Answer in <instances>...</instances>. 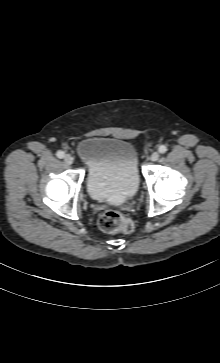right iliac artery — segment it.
I'll return each mask as SVG.
<instances>
[{
  "mask_svg": "<svg viewBox=\"0 0 220 363\" xmlns=\"http://www.w3.org/2000/svg\"><path fill=\"white\" fill-rule=\"evenodd\" d=\"M56 155L58 158H63L65 156V153L63 151H58Z\"/></svg>",
  "mask_w": 220,
  "mask_h": 363,
  "instance_id": "82829eb1",
  "label": "right iliac artery"
}]
</instances>
